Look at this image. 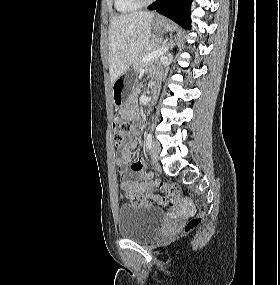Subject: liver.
Wrapping results in <instances>:
<instances>
[{"label":"liver","mask_w":280,"mask_h":285,"mask_svg":"<svg viewBox=\"0 0 280 285\" xmlns=\"http://www.w3.org/2000/svg\"><path fill=\"white\" fill-rule=\"evenodd\" d=\"M154 13L146 11L117 15L109 27V71L111 83L124 74L148 45Z\"/></svg>","instance_id":"liver-1"}]
</instances>
